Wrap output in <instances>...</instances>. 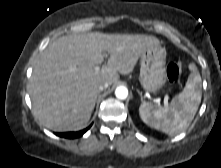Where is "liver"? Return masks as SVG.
Instances as JSON below:
<instances>
[{
  "label": "liver",
  "instance_id": "obj_1",
  "mask_svg": "<svg viewBox=\"0 0 221 168\" xmlns=\"http://www.w3.org/2000/svg\"><path fill=\"white\" fill-rule=\"evenodd\" d=\"M160 47L154 36L91 32L63 36L37 60L29 83L34 115L57 131L83 129L90 120L99 86L112 85L133 70L147 49ZM103 51L109 55L107 65Z\"/></svg>",
  "mask_w": 221,
  "mask_h": 168
}]
</instances>
